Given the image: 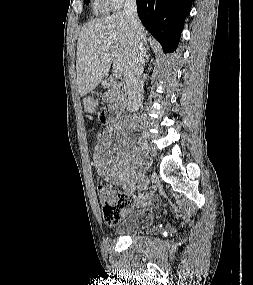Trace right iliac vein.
I'll list each match as a JSON object with an SVG mask.
<instances>
[{"label": "right iliac vein", "mask_w": 253, "mask_h": 285, "mask_svg": "<svg viewBox=\"0 0 253 285\" xmlns=\"http://www.w3.org/2000/svg\"><path fill=\"white\" fill-rule=\"evenodd\" d=\"M149 183V179L147 176H143L140 181H139V184H138V187L141 189V190H145L147 188V185Z\"/></svg>", "instance_id": "obj_1"}]
</instances>
